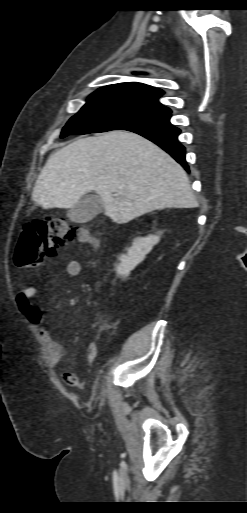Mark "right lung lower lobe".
Wrapping results in <instances>:
<instances>
[{
  "label": "right lung lower lobe",
  "instance_id": "right-lung-lower-lobe-1",
  "mask_svg": "<svg viewBox=\"0 0 247 513\" xmlns=\"http://www.w3.org/2000/svg\"><path fill=\"white\" fill-rule=\"evenodd\" d=\"M170 116V113H168L152 119L134 122L124 126L121 130L135 132L154 142L189 171L185 161V147L177 139L180 129L170 123Z\"/></svg>",
  "mask_w": 247,
  "mask_h": 513
}]
</instances>
